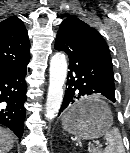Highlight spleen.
Returning a JSON list of instances; mask_svg holds the SVG:
<instances>
[{"label":"spleen","instance_id":"obj_1","mask_svg":"<svg viewBox=\"0 0 130 153\" xmlns=\"http://www.w3.org/2000/svg\"><path fill=\"white\" fill-rule=\"evenodd\" d=\"M105 140L108 143L105 150L102 152L96 148L93 153H125L122 137L117 127H113L105 133Z\"/></svg>","mask_w":130,"mask_h":153}]
</instances>
